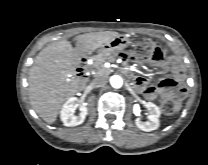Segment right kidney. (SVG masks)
I'll return each instance as SVG.
<instances>
[{
	"mask_svg": "<svg viewBox=\"0 0 208 165\" xmlns=\"http://www.w3.org/2000/svg\"><path fill=\"white\" fill-rule=\"evenodd\" d=\"M77 106V98H69L61 108L60 119L65 126H77L84 122L86 115L88 114V109L86 106L80 107V112L78 116H74L73 112Z\"/></svg>",
	"mask_w": 208,
	"mask_h": 165,
	"instance_id": "obj_1",
	"label": "right kidney"
}]
</instances>
